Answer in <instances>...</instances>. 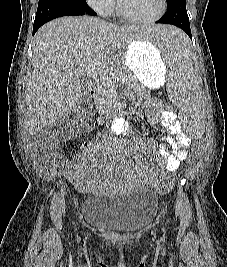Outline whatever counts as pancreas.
Masks as SVG:
<instances>
[{
    "mask_svg": "<svg viewBox=\"0 0 227 267\" xmlns=\"http://www.w3.org/2000/svg\"><path fill=\"white\" fill-rule=\"evenodd\" d=\"M117 82L126 84L131 88L142 87L136 77L125 69H115L105 76L102 82L97 84V95L94 98V104L98 110L112 107L111 89L115 87Z\"/></svg>",
    "mask_w": 227,
    "mask_h": 267,
    "instance_id": "cf45deb5",
    "label": "pancreas"
}]
</instances>
